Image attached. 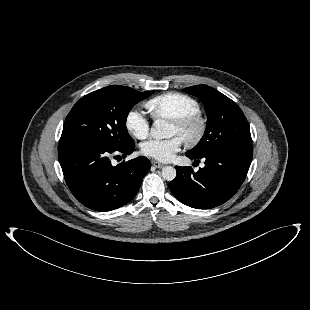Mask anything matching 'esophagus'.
<instances>
[{"label":"esophagus","mask_w":310,"mask_h":310,"mask_svg":"<svg viewBox=\"0 0 310 310\" xmlns=\"http://www.w3.org/2000/svg\"><path fill=\"white\" fill-rule=\"evenodd\" d=\"M152 165L155 167V168H162L164 165L158 161H152Z\"/></svg>","instance_id":"obj_1"}]
</instances>
